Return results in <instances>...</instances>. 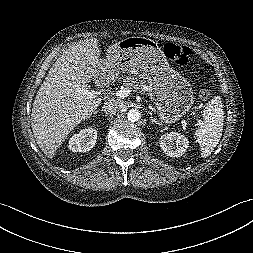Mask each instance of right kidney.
<instances>
[{
  "mask_svg": "<svg viewBox=\"0 0 253 253\" xmlns=\"http://www.w3.org/2000/svg\"><path fill=\"white\" fill-rule=\"evenodd\" d=\"M96 140L97 131L95 129H83L78 134H75L70 138L68 148L72 152H87L94 147Z\"/></svg>",
  "mask_w": 253,
  "mask_h": 253,
  "instance_id": "right-kidney-1",
  "label": "right kidney"
}]
</instances>
